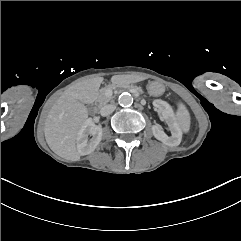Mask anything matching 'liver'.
<instances>
[{"instance_id":"1","label":"liver","mask_w":241,"mask_h":241,"mask_svg":"<svg viewBox=\"0 0 241 241\" xmlns=\"http://www.w3.org/2000/svg\"><path fill=\"white\" fill-rule=\"evenodd\" d=\"M116 76L110 81L115 83ZM103 77H92L71 85L54 103L45 120V138L51 150L58 156L79 161L77 135L88 120L89 112L85 104L93 103L98 94Z\"/></svg>"}]
</instances>
